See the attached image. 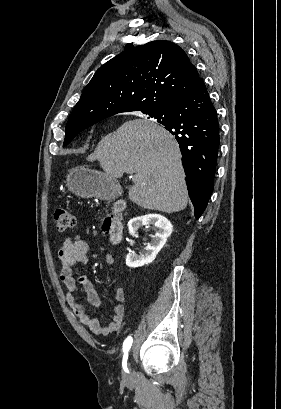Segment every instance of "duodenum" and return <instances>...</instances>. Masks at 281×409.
Returning a JSON list of instances; mask_svg holds the SVG:
<instances>
[{"mask_svg": "<svg viewBox=\"0 0 281 409\" xmlns=\"http://www.w3.org/2000/svg\"><path fill=\"white\" fill-rule=\"evenodd\" d=\"M126 208L124 200H118L114 203L111 212L103 220L102 230L108 236L114 245H118L123 237V219L122 213Z\"/></svg>", "mask_w": 281, "mask_h": 409, "instance_id": "1", "label": "duodenum"}]
</instances>
